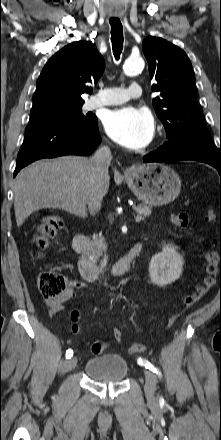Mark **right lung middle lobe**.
I'll list each match as a JSON object with an SVG mask.
<instances>
[{
    "mask_svg": "<svg viewBox=\"0 0 221 440\" xmlns=\"http://www.w3.org/2000/svg\"><path fill=\"white\" fill-rule=\"evenodd\" d=\"M83 104H55L31 111L29 124L41 121H59L70 125H89L96 120L95 116H85L82 113Z\"/></svg>",
    "mask_w": 221,
    "mask_h": 440,
    "instance_id": "1",
    "label": "right lung middle lobe"
}]
</instances>
